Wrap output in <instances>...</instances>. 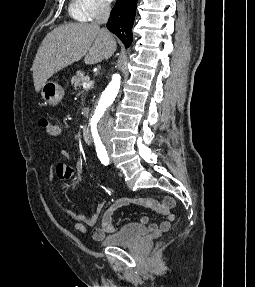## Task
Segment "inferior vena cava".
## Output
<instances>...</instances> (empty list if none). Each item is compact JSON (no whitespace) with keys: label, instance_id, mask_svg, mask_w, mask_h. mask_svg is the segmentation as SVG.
I'll list each match as a JSON object with an SVG mask.
<instances>
[{"label":"inferior vena cava","instance_id":"obj_1","mask_svg":"<svg viewBox=\"0 0 255 287\" xmlns=\"http://www.w3.org/2000/svg\"><path fill=\"white\" fill-rule=\"evenodd\" d=\"M109 14H110V4H107V2H100L99 8L96 12L94 24H107ZM102 30H106V28H102ZM110 130L111 128H106V130H103L102 132V142L103 144L106 145V147H111Z\"/></svg>","mask_w":255,"mask_h":287}]
</instances>
